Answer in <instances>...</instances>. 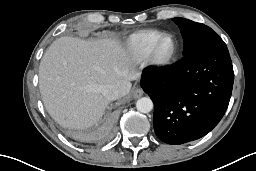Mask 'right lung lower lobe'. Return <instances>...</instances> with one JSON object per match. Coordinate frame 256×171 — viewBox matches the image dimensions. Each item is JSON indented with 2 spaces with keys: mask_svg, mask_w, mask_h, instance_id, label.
I'll list each match as a JSON object with an SVG mask.
<instances>
[{
  "mask_svg": "<svg viewBox=\"0 0 256 171\" xmlns=\"http://www.w3.org/2000/svg\"><path fill=\"white\" fill-rule=\"evenodd\" d=\"M119 113L120 112L118 107L110 109L99 120L97 125L92 128L77 132L76 137L80 140L90 142H103L110 139L113 134Z\"/></svg>",
  "mask_w": 256,
  "mask_h": 171,
  "instance_id": "obj_1",
  "label": "right lung lower lobe"
}]
</instances>
